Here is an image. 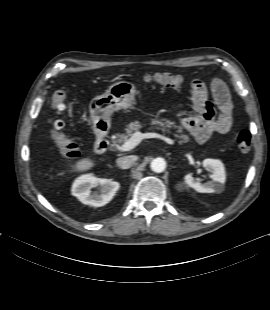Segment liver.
Returning <instances> with one entry per match:
<instances>
[{
  "instance_id": "1",
  "label": "liver",
  "mask_w": 270,
  "mask_h": 310,
  "mask_svg": "<svg viewBox=\"0 0 270 310\" xmlns=\"http://www.w3.org/2000/svg\"><path fill=\"white\" fill-rule=\"evenodd\" d=\"M95 165L94 161L89 158H82L74 165H71L73 171L82 172L91 169Z\"/></svg>"
}]
</instances>
